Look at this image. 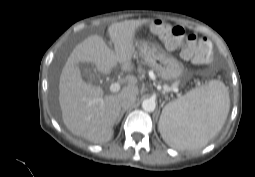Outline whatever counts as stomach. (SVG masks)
<instances>
[{"label":"stomach","mask_w":255,"mask_h":177,"mask_svg":"<svg viewBox=\"0 0 255 177\" xmlns=\"http://www.w3.org/2000/svg\"><path fill=\"white\" fill-rule=\"evenodd\" d=\"M139 56L156 73L166 81L178 79L183 73V66L173 56L167 54L159 46L148 42H137Z\"/></svg>","instance_id":"obj_1"}]
</instances>
